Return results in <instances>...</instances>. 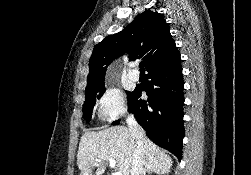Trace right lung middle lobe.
Here are the masks:
<instances>
[{"label": "right lung middle lobe", "instance_id": "dd1d6c3e", "mask_svg": "<svg viewBox=\"0 0 251 175\" xmlns=\"http://www.w3.org/2000/svg\"><path fill=\"white\" fill-rule=\"evenodd\" d=\"M105 90V86L86 88L85 102L83 105V116L86 121H90L96 99H99L103 95ZM126 93H128V91H126Z\"/></svg>", "mask_w": 251, "mask_h": 175}]
</instances>
